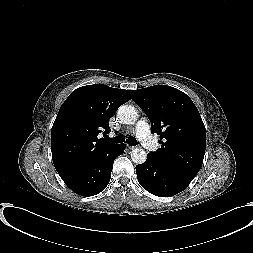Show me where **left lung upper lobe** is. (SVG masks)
<instances>
[{
	"label": "left lung upper lobe",
	"instance_id": "obj_1",
	"mask_svg": "<svg viewBox=\"0 0 253 253\" xmlns=\"http://www.w3.org/2000/svg\"><path fill=\"white\" fill-rule=\"evenodd\" d=\"M148 116L161 148L152 154L162 163L196 176L206 147V130L199 111L182 91L166 85L130 90Z\"/></svg>",
	"mask_w": 253,
	"mask_h": 253
}]
</instances>
